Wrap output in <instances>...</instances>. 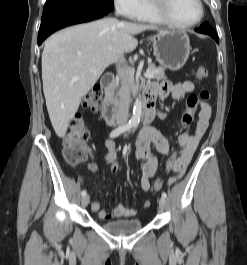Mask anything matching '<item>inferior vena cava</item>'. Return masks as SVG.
Returning <instances> with one entry per match:
<instances>
[{"label": "inferior vena cava", "instance_id": "602c4592", "mask_svg": "<svg viewBox=\"0 0 247 265\" xmlns=\"http://www.w3.org/2000/svg\"><path fill=\"white\" fill-rule=\"evenodd\" d=\"M116 14H119V13L117 12ZM117 61L120 63H125L124 57L118 58ZM118 73L121 75L123 79V89H122V93L120 96V102H119L116 122L117 124L122 125L126 123L128 119L129 106H130V92L127 86L128 78H127L126 72L119 67Z\"/></svg>", "mask_w": 247, "mask_h": 265}]
</instances>
